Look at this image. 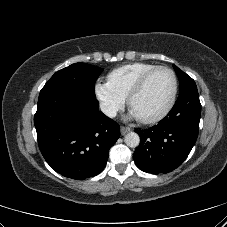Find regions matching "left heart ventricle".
Listing matches in <instances>:
<instances>
[{
  "instance_id": "1",
  "label": "left heart ventricle",
  "mask_w": 227,
  "mask_h": 227,
  "mask_svg": "<svg viewBox=\"0 0 227 227\" xmlns=\"http://www.w3.org/2000/svg\"><path fill=\"white\" fill-rule=\"evenodd\" d=\"M172 76L167 70L155 72L143 89L134 97L131 109L138 118L159 113L168 103L172 92Z\"/></svg>"
}]
</instances>
